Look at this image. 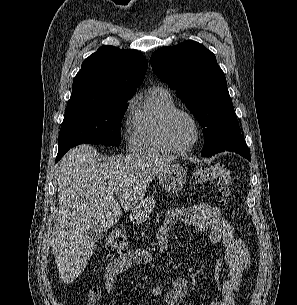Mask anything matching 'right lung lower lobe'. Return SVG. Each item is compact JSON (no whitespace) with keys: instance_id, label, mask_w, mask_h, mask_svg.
I'll use <instances>...</instances> for the list:
<instances>
[{"instance_id":"right-lung-lower-lobe-1","label":"right lung lower lobe","mask_w":297,"mask_h":305,"mask_svg":"<svg viewBox=\"0 0 297 305\" xmlns=\"http://www.w3.org/2000/svg\"><path fill=\"white\" fill-rule=\"evenodd\" d=\"M66 152H58L55 162H58Z\"/></svg>"}]
</instances>
